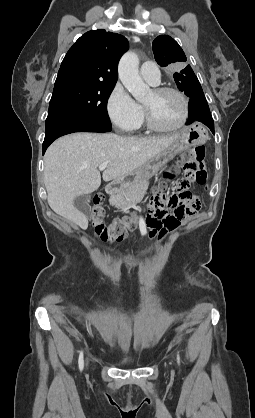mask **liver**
I'll return each mask as SVG.
<instances>
[{"mask_svg":"<svg viewBox=\"0 0 255 418\" xmlns=\"http://www.w3.org/2000/svg\"><path fill=\"white\" fill-rule=\"evenodd\" d=\"M179 137H123L117 134L73 133L56 140L44 156V183L51 209L86 229L88 220L75 206L79 195L101 185L99 165L107 163L102 178L108 182L132 175Z\"/></svg>","mask_w":255,"mask_h":418,"instance_id":"liver-1","label":"liver"}]
</instances>
